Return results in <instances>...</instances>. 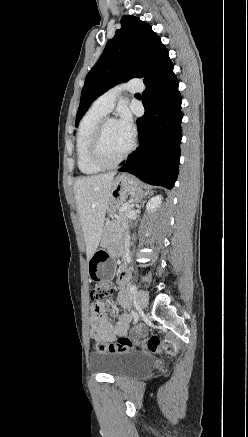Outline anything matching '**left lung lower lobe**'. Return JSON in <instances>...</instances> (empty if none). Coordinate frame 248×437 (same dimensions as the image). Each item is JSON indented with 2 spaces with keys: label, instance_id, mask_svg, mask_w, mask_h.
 Returning <instances> with one entry per match:
<instances>
[{
  "label": "left lung lower lobe",
  "instance_id": "0a47b994",
  "mask_svg": "<svg viewBox=\"0 0 248 437\" xmlns=\"http://www.w3.org/2000/svg\"><path fill=\"white\" fill-rule=\"evenodd\" d=\"M145 84L142 102L146 112L137 119L139 147L119 171L171 189L178 175L182 139V98L173 63Z\"/></svg>",
  "mask_w": 248,
  "mask_h": 437
}]
</instances>
